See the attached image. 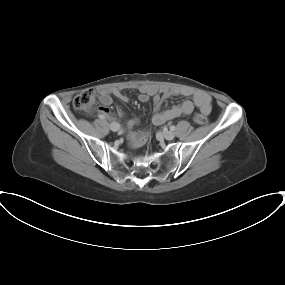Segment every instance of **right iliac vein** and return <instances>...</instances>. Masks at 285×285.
<instances>
[{
    "instance_id": "obj_1",
    "label": "right iliac vein",
    "mask_w": 285,
    "mask_h": 285,
    "mask_svg": "<svg viewBox=\"0 0 285 285\" xmlns=\"http://www.w3.org/2000/svg\"><path fill=\"white\" fill-rule=\"evenodd\" d=\"M110 128H111V130L113 131V132H117V131H119L120 130V125L118 124V123H116V122H112L111 124H110Z\"/></svg>"
}]
</instances>
